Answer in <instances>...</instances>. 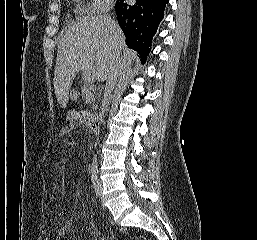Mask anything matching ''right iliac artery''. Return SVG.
<instances>
[{
    "label": "right iliac artery",
    "mask_w": 257,
    "mask_h": 240,
    "mask_svg": "<svg viewBox=\"0 0 257 240\" xmlns=\"http://www.w3.org/2000/svg\"><path fill=\"white\" fill-rule=\"evenodd\" d=\"M93 187H94L96 196L99 197L100 194H101V192H100V190H99V182H98V180H94V181H93Z\"/></svg>",
    "instance_id": "1"
}]
</instances>
